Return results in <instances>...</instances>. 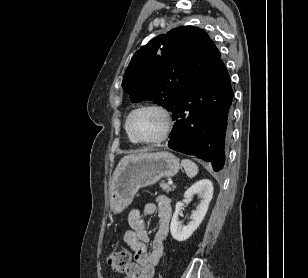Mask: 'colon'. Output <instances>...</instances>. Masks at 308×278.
Returning a JSON list of instances; mask_svg holds the SVG:
<instances>
[{"label": "colon", "mask_w": 308, "mask_h": 278, "mask_svg": "<svg viewBox=\"0 0 308 278\" xmlns=\"http://www.w3.org/2000/svg\"><path fill=\"white\" fill-rule=\"evenodd\" d=\"M131 253L127 250L113 251L107 257L109 266L116 273H124L126 267L130 263Z\"/></svg>", "instance_id": "1"}]
</instances>
